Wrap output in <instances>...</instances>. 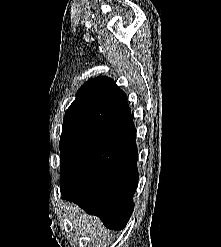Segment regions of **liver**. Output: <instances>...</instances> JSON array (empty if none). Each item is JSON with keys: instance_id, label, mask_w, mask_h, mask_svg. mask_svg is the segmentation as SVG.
Wrapping results in <instances>:
<instances>
[{"instance_id": "obj_1", "label": "liver", "mask_w": 221, "mask_h": 247, "mask_svg": "<svg viewBox=\"0 0 221 247\" xmlns=\"http://www.w3.org/2000/svg\"><path fill=\"white\" fill-rule=\"evenodd\" d=\"M66 210L69 212V217L73 226L81 227L83 231L90 234L92 238L97 237L98 240L107 235V230L102 226L99 219L94 216H89L81 213L77 205L66 206Z\"/></svg>"}]
</instances>
